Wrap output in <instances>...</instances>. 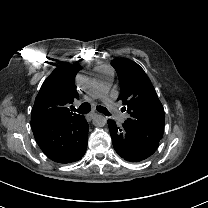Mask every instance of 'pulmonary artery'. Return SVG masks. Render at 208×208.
Segmentation results:
<instances>
[{"instance_id": "obj_1", "label": "pulmonary artery", "mask_w": 208, "mask_h": 208, "mask_svg": "<svg viewBox=\"0 0 208 208\" xmlns=\"http://www.w3.org/2000/svg\"><path fill=\"white\" fill-rule=\"evenodd\" d=\"M94 75L95 79L92 87L88 91V96L77 98L75 100V105L77 107H82L90 103V98L99 97L106 104L108 109L113 112L118 122L120 124L123 123L128 116L123 115L108 96L104 94L108 91L109 80L113 76V69L109 65L97 66L94 68Z\"/></svg>"}]
</instances>
